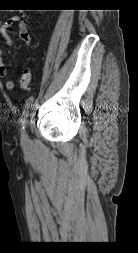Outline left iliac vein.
I'll return each mask as SVG.
<instances>
[{"label": "left iliac vein", "mask_w": 138, "mask_h": 253, "mask_svg": "<svg viewBox=\"0 0 138 253\" xmlns=\"http://www.w3.org/2000/svg\"><path fill=\"white\" fill-rule=\"evenodd\" d=\"M22 139L23 141H27L28 140V136L25 130L22 131Z\"/></svg>", "instance_id": "1"}]
</instances>
